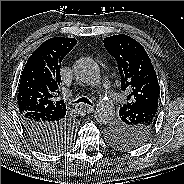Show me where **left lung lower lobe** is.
<instances>
[{
  "label": "left lung lower lobe",
  "mask_w": 184,
  "mask_h": 184,
  "mask_svg": "<svg viewBox=\"0 0 184 184\" xmlns=\"http://www.w3.org/2000/svg\"><path fill=\"white\" fill-rule=\"evenodd\" d=\"M152 105H153V106H158V102L155 101V100H153V101H152Z\"/></svg>",
  "instance_id": "left-lung-lower-lobe-1"
}]
</instances>
